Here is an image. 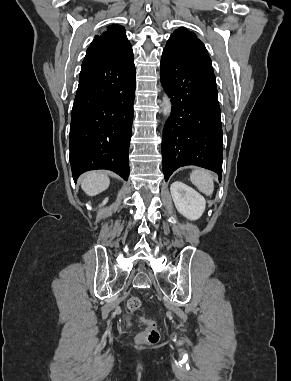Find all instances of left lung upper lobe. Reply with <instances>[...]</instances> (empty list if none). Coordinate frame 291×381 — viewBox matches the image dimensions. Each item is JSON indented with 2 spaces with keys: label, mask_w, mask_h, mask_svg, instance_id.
<instances>
[{
  "label": "left lung upper lobe",
  "mask_w": 291,
  "mask_h": 381,
  "mask_svg": "<svg viewBox=\"0 0 291 381\" xmlns=\"http://www.w3.org/2000/svg\"><path fill=\"white\" fill-rule=\"evenodd\" d=\"M164 51L201 72L214 75L211 59L204 44L185 27L173 32Z\"/></svg>",
  "instance_id": "obj_1"
}]
</instances>
